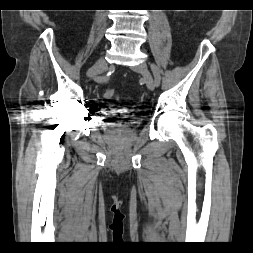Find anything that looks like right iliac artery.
I'll use <instances>...</instances> for the list:
<instances>
[{
  "label": "right iliac artery",
  "mask_w": 253,
  "mask_h": 253,
  "mask_svg": "<svg viewBox=\"0 0 253 253\" xmlns=\"http://www.w3.org/2000/svg\"><path fill=\"white\" fill-rule=\"evenodd\" d=\"M108 78H109V77H108V75H107V76H104L103 78H100L99 80H100V81H107Z\"/></svg>",
  "instance_id": "82829eb1"
}]
</instances>
